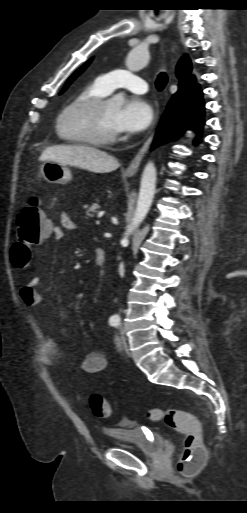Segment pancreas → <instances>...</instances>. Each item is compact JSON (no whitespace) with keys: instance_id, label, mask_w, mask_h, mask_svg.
Listing matches in <instances>:
<instances>
[{"instance_id":"pancreas-1","label":"pancreas","mask_w":247,"mask_h":513,"mask_svg":"<svg viewBox=\"0 0 247 513\" xmlns=\"http://www.w3.org/2000/svg\"><path fill=\"white\" fill-rule=\"evenodd\" d=\"M84 208H86V218L94 217L100 211V206L97 203L85 205Z\"/></svg>"}]
</instances>
